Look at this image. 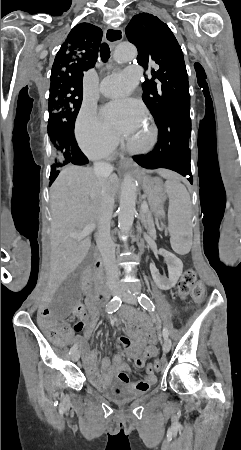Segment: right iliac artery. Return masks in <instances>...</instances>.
Listing matches in <instances>:
<instances>
[{
    "label": "right iliac artery",
    "instance_id": "1",
    "mask_svg": "<svg viewBox=\"0 0 241 450\" xmlns=\"http://www.w3.org/2000/svg\"><path fill=\"white\" fill-rule=\"evenodd\" d=\"M121 299L120 297L115 296L113 299L110 300V302L106 306V310L108 313H113L121 306ZM77 350V345H73L70 349V354L74 353Z\"/></svg>",
    "mask_w": 241,
    "mask_h": 450
}]
</instances>
